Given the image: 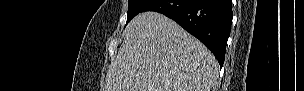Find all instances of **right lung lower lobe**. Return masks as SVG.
Segmentation results:
<instances>
[{"instance_id": "right-lung-lower-lobe-1", "label": "right lung lower lobe", "mask_w": 304, "mask_h": 91, "mask_svg": "<svg viewBox=\"0 0 304 91\" xmlns=\"http://www.w3.org/2000/svg\"><path fill=\"white\" fill-rule=\"evenodd\" d=\"M231 0H151L142 10L176 21L198 38L223 66L233 18Z\"/></svg>"}]
</instances>
